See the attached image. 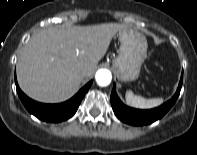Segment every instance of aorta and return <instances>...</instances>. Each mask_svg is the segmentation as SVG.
<instances>
[{"instance_id": "obj_1", "label": "aorta", "mask_w": 197, "mask_h": 155, "mask_svg": "<svg viewBox=\"0 0 197 155\" xmlns=\"http://www.w3.org/2000/svg\"><path fill=\"white\" fill-rule=\"evenodd\" d=\"M96 82L99 86L104 87L110 84L112 75L107 69H100L95 75Z\"/></svg>"}]
</instances>
